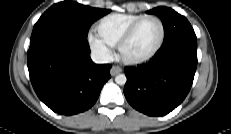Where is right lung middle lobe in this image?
Returning a JSON list of instances; mask_svg holds the SVG:
<instances>
[{
  "label": "right lung middle lobe",
  "mask_w": 231,
  "mask_h": 134,
  "mask_svg": "<svg viewBox=\"0 0 231 134\" xmlns=\"http://www.w3.org/2000/svg\"><path fill=\"white\" fill-rule=\"evenodd\" d=\"M111 10L96 9L72 1H64L51 6L34 25L32 36L41 31L58 27L87 37L91 24Z\"/></svg>",
  "instance_id": "right-lung-middle-lobe-1"
}]
</instances>
